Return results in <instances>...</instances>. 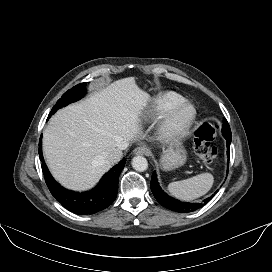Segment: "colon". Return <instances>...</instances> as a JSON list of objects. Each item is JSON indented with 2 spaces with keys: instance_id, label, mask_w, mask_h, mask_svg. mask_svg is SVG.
<instances>
[{
  "instance_id": "obj_1",
  "label": "colon",
  "mask_w": 272,
  "mask_h": 272,
  "mask_svg": "<svg viewBox=\"0 0 272 272\" xmlns=\"http://www.w3.org/2000/svg\"><path fill=\"white\" fill-rule=\"evenodd\" d=\"M214 122H205L198 127L194 137V150L197 156L206 163H211L217 157V148L212 145L217 132Z\"/></svg>"
}]
</instances>
